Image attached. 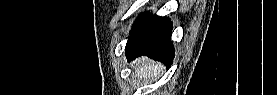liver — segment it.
<instances>
[{
	"instance_id": "6515ba94",
	"label": "liver",
	"mask_w": 277,
	"mask_h": 95,
	"mask_svg": "<svg viewBox=\"0 0 277 95\" xmlns=\"http://www.w3.org/2000/svg\"><path fill=\"white\" fill-rule=\"evenodd\" d=\"M134 76L137 78L149 79V78H157L160 72L163 70V65L151 61L145 57H141L137 59Z\"/></svg>"
}]
</instances>
